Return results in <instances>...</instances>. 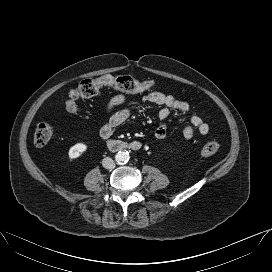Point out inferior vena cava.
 Returning <instances> with one entry per match:
<instances>
[{"mask_svg": "<svg viewBox=\"0 0 272 272\" xmlns=\"http://www.w3.org/2000/svg\"><path fill=\"white\" fill-rule=\"evenodd\" d=\"M102 165L105 169H114L115 168V162L112 158L106 157L102 160Z\"/></svg>", "mask_w": 272, "mask_h": 272, "instance_id": "obj_1", "label": "inferior vena cava"}]
</instances>
